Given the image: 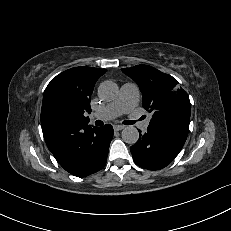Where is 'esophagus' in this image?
<instances>
[{"label": "esophagus", "mask_w": 231, "mask_h": 231, "mask_svg": "<svg viewBox=\"0 0 231 231\" xmlns=\"http://www.w3.org/2000/svg\"><path fill=\"white\" fill-rule=\"evenodd\" d=\"M113 128H114L115 131H120V130L124 129V126L117 124V125H114Z\"/></svg>", "instance_id": "obj_1"}]
</instances>
